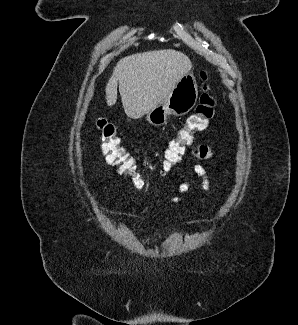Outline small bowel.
<instances>
[{"instance_id":"obj_1","label":"small bowel","mask_w":298,"mask_h":325,"mask_svg":"<svg viewBox=\"0 0 298 325\" xmlns=\"http://www.w3.org/2000/svg\"><path fill=\"white\" fill-rule=\"evenodd\" d=\"M192 155H193V157H195L197 159L205 160V159L210 158L211 152H210V150H209V148L207 146L202 145V146H199V147L195 148L193 150V152H192ZM194 171L202 179V188H203V190H205V191L209 190L210 181L208 179V176H207V173H206L204 167L201 164H196L194 166ZM182 178H183V181L179 185V188H178L180 195L185 194L189 189V184L187 182L186 176L183 175ZM171 202L174 203V204L179 203L180 202V196L178 195V196L172 197Z\"/></svg>"}]
</instances>
